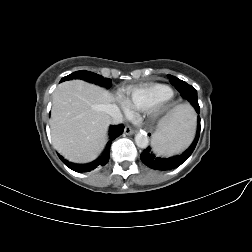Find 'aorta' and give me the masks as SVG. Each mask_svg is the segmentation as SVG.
Here are the masks:
<instances>
[{"label":"aorta","instance_id":"762f6f07","mask_svg":"<svg viewBox=\"0 0 252 252\" xmlns=\"http://www.w3.org/2000/svg\"><path fill=\"white\" fill-rule=\"evenodd\" d=\"M136 145L140 148H146L149 144V139L146 133L139 132L135 135Z\"/></svg>","mask_w":252,"mask_h":252}]
</instances>
